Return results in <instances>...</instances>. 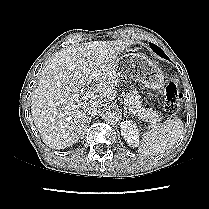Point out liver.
Wrapping results in <instances>:
<instances>
[{"label": "liver", "instance_id": "1", "mask_svg": "<svg viewBox=\"0 0 209 209\" xmlns=\"http://www.w3.org/2000/svg\"><path fill=\"white\" fill-rule=\"evenodd\" d=\"M132 44L130 40L93 41L56 53L39 77L31 104L34 124L48 147L72 146L87 123V107L116 98L118 55ZM92 81L97 83L94 95L83 100L79 88Z\"/></svg>", "mask_w": 209, "mask_h": 209}]
</instances>
